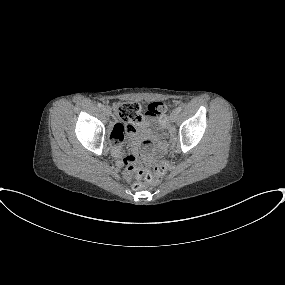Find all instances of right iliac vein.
Instances as JSON below:
<instances>
[{
  "instance_id": "1",
  "label": "right iliac vein",
  "mask_w": 285,
  "mask_h": 285,
  "mask_svg": "<svg viewBox=\"0 0 285 285\" xmlns=\"http://www.w3.org/2000/svg\"><path fill=\"white\" fill-rule=\"evenodd\" d=\"M102 111L104 112V114H105L106 116H110V114H111V110H110V108H109L108 106H104V107L102 108Z\"/></svg>"
}]
</instances>
